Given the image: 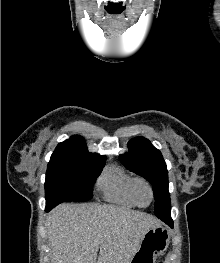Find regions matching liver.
Masks as SVG:
<instances>
[{
  "mask_svg": "<svg viewBox=\"0 0 220 263\" xmlns=\"http://www.w3.org/2000/svg\"><path fill=\"white\" fill-rule=\"evenodd\" d=\"M152 215L115 205L62 203L46 218L52 263H129ZM99 252V255H98Z\"/></svg>",
  "mask_w": 220,
  "mask_h": 263,
  "instance_id": "6515ba94",
  "label": "liver"
}]
</instances>
